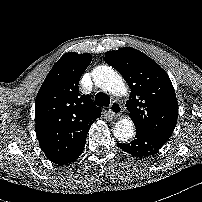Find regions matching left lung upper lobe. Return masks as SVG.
Here are the masks:
<instances>
[{
	"label": "left lung upper lobe",
	"mask_w": 202,
	"mask_h": 202,
	"mask_svg": "<svg viewBox=\"0 0 202 202\" xmlns=\"http://www.w3.org/2000/svg\"><path fill=\"white\" fill-rule=\"evenodd\" d=\"M131 89L126 107L136 132L170 137L178 117L176 94L168 74L150 57L134 48H120L105 54Z\"/></svg>",
	"instance_id": "obj_1"
}]
</instances>
